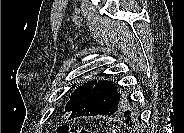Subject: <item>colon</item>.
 <instances>
[{"label":"colon","mask_w":184,"mask_h":133,"mask_svg":"<svg viewBox=\"0 0 184 133\" xmlns=\"http://www.w3.org/2000/svg\"><path fill=\"white\" fill-rule=\"evenodd\" d=\"M88 132L89 131H86L84 129L70 127L66 124L60 125L56 130V133H88Z\"/></svg>","instance_id":"5ec220e1"}]
</instances>
